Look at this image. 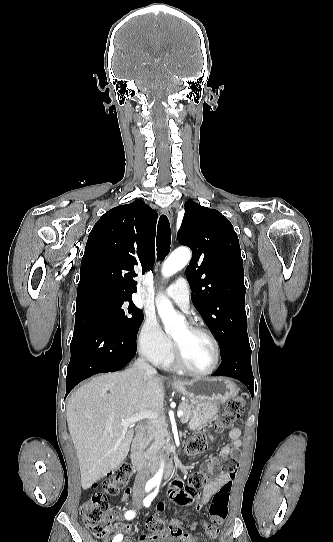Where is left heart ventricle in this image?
<instances>
[{
  "instance_id": "b2bd125f",
  "label": "left heart ventricle",
  "mask_w": 333,
  "mask_h": 542,
  "mask_svg": "<svg viewBox=\"0 0 333 542\" xmlns=\"http://www.w3.org/2000/svg\"><path fill=\"white\" fill-rule=\"evenodd\" d=\"M178 348L184 362L193 370L204 371L214 362L215 352L212 342L199 333L192 332L188 326L170 336Z\"/></svg>"
}]
</instances>
